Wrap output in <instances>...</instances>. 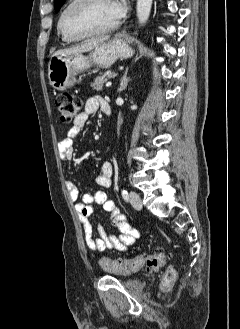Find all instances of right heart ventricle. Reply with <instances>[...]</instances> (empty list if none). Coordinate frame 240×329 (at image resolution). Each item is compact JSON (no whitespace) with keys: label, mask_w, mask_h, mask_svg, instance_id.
Listing matches in <instances>:
<instances>
[{"label":"right heart ventricle","mask_w":240,"mask_h":329,"mask_svg":"<svg viewBox=\"0 0 240 329\" xmlns=\"http://www.w3.org/2000/svg\"><path fill=\"white\" fill-rule=\"evenodd\" d=\"M71 2H72V0H68V2H67V4H66V6L64 7V9H65V8H66ZM64 9H63V10H64ZM63 10H62V12H63ZM62 12L60 13L59 18H58V21H57V30H58V32H59V34H60L62 40H63V41H66V42H69V41H72V40L67 39V38L62 34V32L60 31V17H61Z\"/></svg>","instance_id":"1"}]
</instances>
